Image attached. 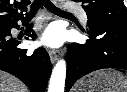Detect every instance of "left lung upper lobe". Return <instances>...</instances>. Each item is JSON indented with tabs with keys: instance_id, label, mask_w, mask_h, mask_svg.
<instances>
[{
	"instance_id": "left-lung-upper-lobe-1",
	"label": "left lung upper lobe",
	"mask_w": 127,
	"mask_h": 92,
	"mask_svg": "<svg viewBox=\"0 0 127 92\" xmlns=\"http://www.w3.org/2000/svg\"><path fill=\"white\" fill-rule=\"evenodd\" d=\"M81 2L88 22L113 21L127 23V10L123 0H73Z\"/></svg>"
}]
</instances>
